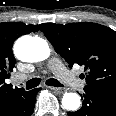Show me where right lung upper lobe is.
<instances>
[{"label": "right lung upper lobe", "mask_w": 116, "mask_h": 116, "mask_svg": "<svg viewBox=\"0 0 116 116\" xmlns=\"http://www.w3.org/2000/svg\"><path fill=\"white\" fill-rule=\"evenodd\" d=\"M40 27L41 25H25L20 22L0 23V116L25 92L23 88H13L5 82L15 66L12 45L18 37L37 32Z\"/></svg>", "instance_id": "cb5924a9"}]
</instances>
